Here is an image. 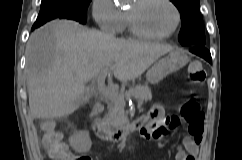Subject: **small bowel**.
<instances>
[{"label":"small bowel","instance_id":"1","mask_svg":"<svg viewBox=\"0 0 242 160\" xmlns=\"http://www.w3.org/2000/svg\"><path fill=\"white\" fill-rule=\"evenodd\" d=\"M152 117L153 119L151 121H148V118L144 117L148 128L142 129L141 137L146 141H150L153 138L158 137L154 135V131H158L160 134H163L168 130L176 129L180 124V119L178 117L170 116L163 118L160 111L154 113ZM159 124H162V126L159 127ZM202 139L203 126L196 133H190V136L184 139L176 153V160H197L199 145L201 144ZM66 160H75V156L69 151V155Z\"/></svg>","mask_w":242,"mask_h":160}]
</instances>
